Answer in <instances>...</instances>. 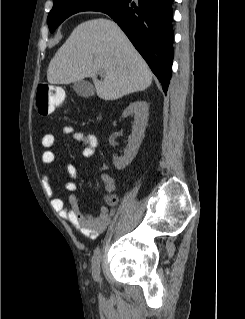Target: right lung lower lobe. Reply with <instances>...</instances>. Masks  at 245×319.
Masks as SVG:
<instances>
[{"label":"right lung lower lobe","mask_w":245,"mask_h":319,"mask_svg":"<svg viewBox=\"0 0 245 319\" xmlns=\"http://www.w3.org/2000/svg\"><path fill=\"white\" fill-rule=\"evenodd\" d=\"M173 0H132L106 11L125 32L167 92L173 62Z\"/></svg>","instance_id":"98d812e1"}]
</instances>
